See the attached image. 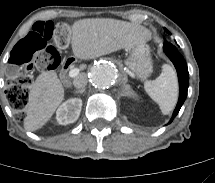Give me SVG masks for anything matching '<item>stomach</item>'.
Returning a JSON list of instances; mask_svg holds the SVG:
<instances>
[{
	"mask_svg": "<svg viewBox=\"0 0 215 183\" xmlns=\"http://www.w3.org/2000/svg\"><path fill=\"white\" fill-rule=\"evenodd\" d=\"M126 64L137 77L141 79L148 77L153 69L149 47L145 43L133 47Z\"/></svg>",
	"mask_w": 215,
	"mask_h": 183,
	"instance_id": "0dacf381",
	"label": "stomach"
}]
</instances>
